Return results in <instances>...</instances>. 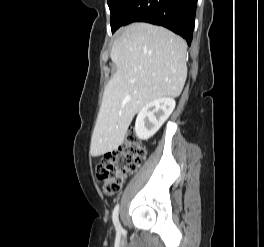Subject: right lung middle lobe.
I'll list each match as a JSON object with an SVG mask.
<instances>
[{"label": "right lung middle lobe", "mask_w": 264, "mask_h": 247, "mask_svg": "<svg viewBox=\"0 0 264 247\" xmlns=\"http://www.w3.org/2000/svg\"><path fill=\"white\" fill-rule=\"evenodd\" d=\"M130 2V0H108V6L111 12V29L112 33L116 31V27L118 24V17L122 13V11L125 9L127 4Z\"/></svg>", "instance_id": "dd1d6c3e"}]
</instances>
